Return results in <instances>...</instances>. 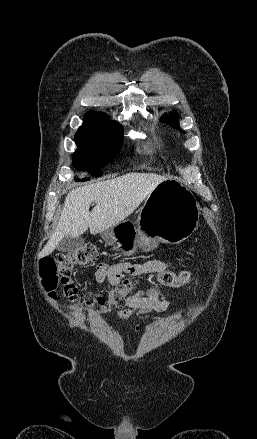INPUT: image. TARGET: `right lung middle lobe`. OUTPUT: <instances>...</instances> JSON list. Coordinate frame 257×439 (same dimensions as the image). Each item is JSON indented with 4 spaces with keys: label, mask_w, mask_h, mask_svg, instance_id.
<instances>
[{
    "label": "right lung middle lobe",
    "mask_w": 257,
    "mask_h": 439,
    "mask_svg": "<svg viewBox=\"0 0 257 439\" xmlns=\"http://www.w3.org/2000/svg\"><path fill=\"white\" fill-rule=\"evenodd\" d=\"M123 128L115 122L84 120L75 135L78 149L74 153V167L89 171L95 176L101 166L110 162L120 151L123 143ZM84 178L77 181H88Z\"/></svg>",
    "instance_id": "dd1d6c3e"
}]
</instances>
